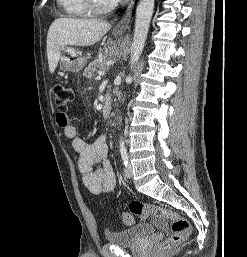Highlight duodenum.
Here are the masks:
<instances>
[{
  "instance_id": "410a0bca",
  "label": "duodenum",
  "mask_w": 247,
  "mask_h": 257,
  "mask_svg": "<svg viewBox=\"0 0 247 257\" xmlns=\"http://www.w3.org/2000/svg\"><path fill=\"white\" fill-rule=\"evenodd\" d=\"M111 100L109 97H105L103 104H102V108H101V114L104 118H108L111 114Z\"/></svg>"
}]
</instances>
